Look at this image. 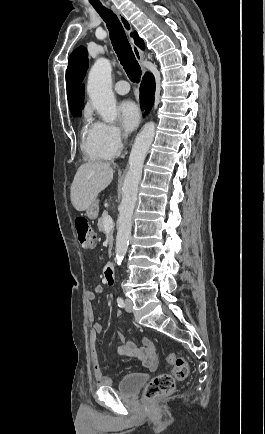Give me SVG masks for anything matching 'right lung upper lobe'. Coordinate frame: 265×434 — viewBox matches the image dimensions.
I'll list each match as a JSON object with an SVG mask.
<instances>
[{"label":"right lung upper lobe","mask_w":265,"mask_h":434,"mask_svg":"<svg viewBox=\"0 0 265 434\" xmlns=\"http://www.w3.org/2000/svg\"><path fill=\"white\" fill-rule=\"evenodd\" d=\"M135 43L144 48L143 40L137 32L131 33ZM88 69V53L83 46L76 48L69 57V65L66 71V87L69 105L83 103L84 84L82 83Z\"/></svg>","instance_id":"obj_1"}]
</instances>
